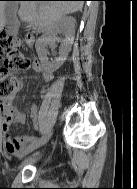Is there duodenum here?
I'll return each instance as SVG.
<instances>
[{"instance_id":"duodenum-1","label":"duodenum","mask_w":137,"mask_h":189,"mask_svg":"<svg viewBox=\"0 0 137 189\" xmlns=\"http://www.w3.org/2000/svg\"><path fill=\"white\" fill-rule=\"evenodd\" d=\"M26 41H27V44H28V45H31V43H32V38H31L30 36H28V37L26 38Z\"/></svg>"}]
</instances>
